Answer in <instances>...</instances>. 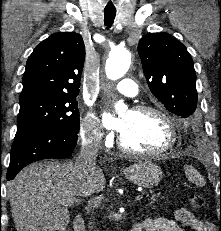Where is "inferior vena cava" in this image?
I'll list each match as a JSON object with an SVG mask.
<instances>
[{
  "label": "inferior vena cava",
  "mask_w": 221,
  "mask_h": 231,
  "mask_svg": "<svg viewBox=\"0 0 221 231\" xmlns=\"http://www.w3.org/2000/svg\"><path fill=\"white\" fill-rule=\"evenodd\" d=\"M101 144V136L95 133H88L82 143L81 151L76 161L84 166H90L97 157V152ZM93 221L90 218L89 228L93 229Z\"/></svg>",
  "instance_id": "1"
}]
</instances>
